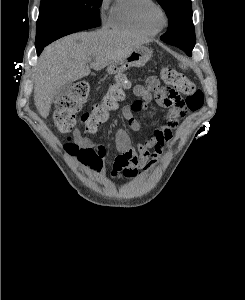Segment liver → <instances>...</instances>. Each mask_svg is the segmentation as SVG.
<instances>
[{"mask_svg": "<svg viewBox=\"0 0 245 300\" xmlns=\"http://www.w3.org/2000/svg\"><path fill=\"white\" fill-rule=\"evenodd\" d=\"M143 43L135 35L103 28L72 34L47 46L34 77V102L39 114L47 118L61 86L88 76L91 69L105 68Z\"/></svg>", "mask_w": 245, "mask_h": 300, "instance_id": "6515ba94", "label": "liver"}]
</instances>
